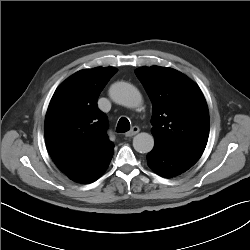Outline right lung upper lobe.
<instances>
[{
	"mask_svg": "<svg viewBox=\"0 0 250 250\" xmlns=\"http://www.w3.org/2000/svg\"><path fill=\"white\" fill-rule=\"evenodd\" d=\"M117 72L96 67L76 72L55 91L45 118V141L57 167L69 178L81 173L114 149L107 118L98 97Z\"/></svg>",
	"mask_w": 250,
	"mask_h": 250,
	"instance_id": "cb5924a9",
	"label": "right lung upper lobe"
}]
</instances>
